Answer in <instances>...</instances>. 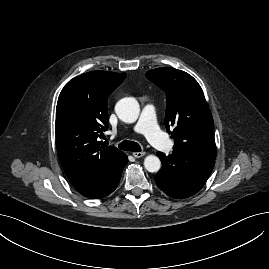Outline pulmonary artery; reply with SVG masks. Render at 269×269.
<instances>
[{
  "label": "pulmonary artery",
  "mask_w": 269,
  "mask_h": 269,
  "mask_svg": "<svg viewBox=\"0 0 269 269\" xmlns=\"http://www.w3.org/2000/svg\"><path fill=\"white\" fill-rule=\"evenodd\" d=\"M133 130L146 137L148 142L162 151H171L174 143L159 129L156 111L152 105H145Z\"/></svg>",
  "instance_id": "obj_1"
}]
</instances>
